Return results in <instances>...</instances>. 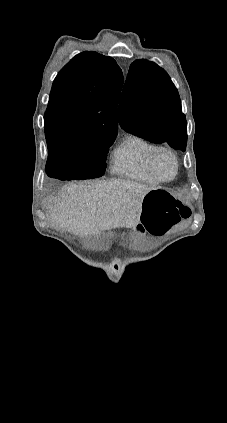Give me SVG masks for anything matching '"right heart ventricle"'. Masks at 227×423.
Instances as JSON below:
<instances>
[{"mask_svg": "<svg viewBox=\"0 0 227 423\" xmlns=\"http://www.w3.org/2000/svg\"><path fill=\"white\" fill-rule=\"evenodd\" d=\"M154 147L142 136H125L113 152V174L146 184L161 183L162 180L153 173L148 163L149 153Z\"/></svg>", "mask_w": 227, "mask_h": 423, "instance_id": "1", "label": "right heart ventricle"}]
</instances>
